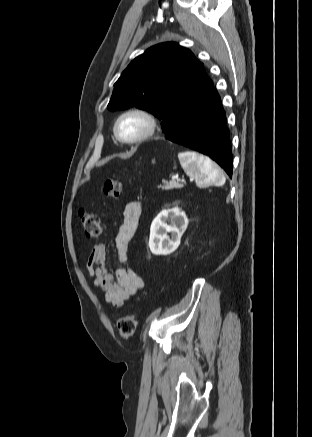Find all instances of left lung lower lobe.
I'll return each mask as SVG.
<instances>
[{"mask_svg": "<svg viewBox=\"0 0 312 437\" xmlns=\"http://www.w3.org/2000/svg\"><path fill=\"white\" fill-rule=\"evenodd\" d=\"M225 111L216 89L166 139L203 153L232 177V152Z\"/></svg>", "mask_w": 312, "mask_h": 437, "instance_id": "obj_1", "label": "left lung lower lobe"}]
</instances>
